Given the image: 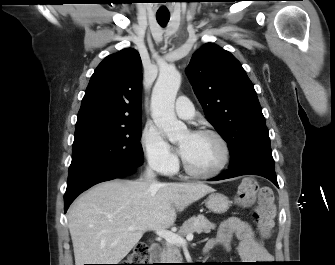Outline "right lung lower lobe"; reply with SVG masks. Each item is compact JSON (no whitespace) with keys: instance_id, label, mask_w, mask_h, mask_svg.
<instances>
[{"instance_id":"obj_1","label":"right lung lower lobe","mask_w":335,"mask_h":265,"mask_svg":"<svg viewBox=\"0 0 335 265\" xmlns=\"http://www.w3.org/2000/svg\"><path fill=\"white\" fill-rule=\"evenodd\" d=\"M135 168H118L109 166H94L80 170L70 176L67 180V189L64 195V211L66 213L70 204L83 191L89 187L116 178L117 176L130 174Z\"/></svg>"}]
</instances>
